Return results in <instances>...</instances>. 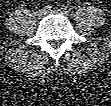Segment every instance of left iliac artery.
<instances>
[{
	"label": "left iliac artery",
	"instance_id": "left-iliac-artery-1",
	"mask_svg": "<svg viewBox=\"0 0 111 106\" xmlns=\"http://www.w3.org/2000/svg\"><path fill=\"white\" fill-rule=\"evenodd\" d=\"M63 11H64L66 14H68V13L71 12V8L68 7V6H66V7H64Z\"/></svg>",
	"mask_w": 111,
	"mask_h": 106
}]
</instances>
